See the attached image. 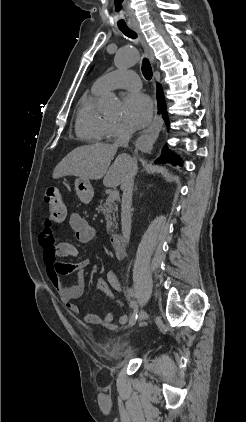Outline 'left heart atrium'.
<instances>
[{"mask_svg":"<svg viewBox=\"0 0 246 422\" xmlns=\"http://www.w3.org/2000/svg\"><path fill=\"white\" fill-rule=\"evenodd\" d=\"M124 122L131 128L138 129L146 126L152 115V103L142 93L128 94L123 101Z\"/></svg>","mask_w":246,"mask_h":422,"instance_id":"left-heart-atrium-1","label":"left heart atrium"}]
</instances>
